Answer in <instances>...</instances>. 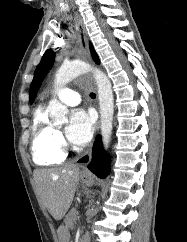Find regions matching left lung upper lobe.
Masks as SVG:
<instances>
[{
    "mask_svg": "<svg viewBox=\"0 0 187 242\" xmlns=\"http://www.w3.org/2000/svg\"><path fill=\"white\" fill-rule=\"evenodd\" d=\"M90 51H91V55H92V58L95 61V63L99 64L100 60L98 58V55L96 54V52L91 44H90ZM54 57H55V53L51 49L47 50L45 52V54L43 55L39 65L37 66L35 73H34V79L31 83V87H30V104L33 103L42 81L44 80L45 76L47 75L49 69H51V67L54 63Z\"/></svg>",
    "mask_w": 187,
    "mask_h": 242,
    "instance_id": "5c2ea615",
    "label": "left lung upper lobe"
}]
</instances>
